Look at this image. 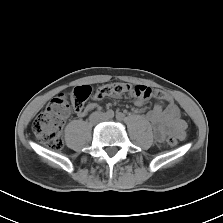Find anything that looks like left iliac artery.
<instances>
[{
	"mask_svg": "<svg viewBox=\"0 0 223 223\" xmlns=\"http://www.w3.org/2000/svg\"><path fill=\"white\" fill-rule=\"evenodd\" d=\"M124 117H125V116H124L123 113H117V115H116V119H117V120H120V121L123 120Z\"/></svg>",
	"mask_w": 223,
	"mask_h": 223,
	"instance_id": "obj_1",
	"label": "left iliac artery"
}]
</instances>
